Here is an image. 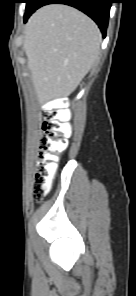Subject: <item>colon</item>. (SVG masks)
<instances>
[{"mask_svg": "<svg viewBox=\"0 0 136 296\" xmlns=\"http://www.w3.org/2000/svg\"><path fill=\"white\" fill-rule=\"evenodd\" d=\"M68 113L48 102L42 113L43 136L40 140L38 161L35 165L33 196L42 200L48 193L54 178L59 155L67 148L69 123Z\"/></svg>", "mask_w": 136, "mask_h": 296, "instance_id": "1", "label": "colon"}]
</instances>
